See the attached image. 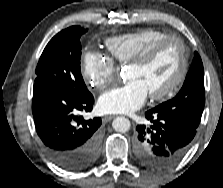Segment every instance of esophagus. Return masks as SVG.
<instances>
[{
	"label": "esophagus",
	"mask_w": 223,
	"mask_h": 188,
	"mask_svg": "<svg viewBox=\"0 0 223 188\" xmlns=\"http://www.w3.org/2000/svg\"><path fill=\"white\" fill-rule=\"evenodd\" d=\"M114 117L115 116H113V115H107V116H104L102 118V120H103V122L107 123V122L111 121Z\"/></svg>",
	"instance_id": "34e87169"
}]
</instances>
